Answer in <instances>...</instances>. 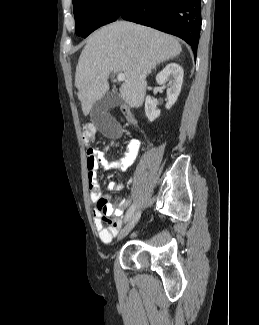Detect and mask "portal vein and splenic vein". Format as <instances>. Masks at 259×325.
I'll list each match as a JSON object with an SVG mask.
<instances>
[{"label": "portal vein and splenic vein", "mask_w": 259, "mask_h": 325, "mask_svg": "<svg viewBox=\"0 0 259 325\" xmlns=\"http://www.w3.org/2000/svg\"><path fill=\"white\" fill-rule=\"evenodd\" d=\"M117 80H118V81H124V80H125V75H124L123 73H119V74L117 75Z\"/></svg>", "instance_id": "1"}]
</instances>
